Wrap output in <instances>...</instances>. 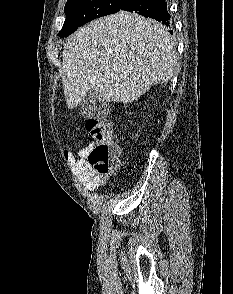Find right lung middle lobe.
<instances>
[{
    "label": "right lung middle lobe",
    "mask_w": 233,
    "mask_h": 294,
    "mask_svg": "<svg viewBox=\"0 0 233 294\" xmlns=\"http://www.w3.org/2000/svg\"><path fill=\"white\" fill-rule=\"evenodd\" d=\"M126 0H68L64 12L66 20L59 32L67 37L85 23L120 10Z\"/></svg>",
    "instance_id": "right-lung-middle-lobe-1"
}]
</instances>
